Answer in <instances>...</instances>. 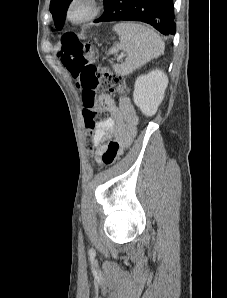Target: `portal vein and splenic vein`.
I'll return each instance as SVG.
<instances>
[{"label":"portal vein and splenic vein","instance_id":"obj_1","mask_svg":"<svg viewBox=\"0 0 227 298\" xmlns=\"http://www.w3.org/2000/svg\"><path fill=\"white\" fill-rule=\"evenodd\" d=\"M124 56V54H121V57H123Z\"/></svg>","mask_w":227,"mask_h":298}]
</instances>
